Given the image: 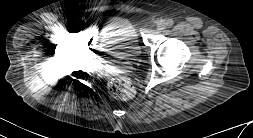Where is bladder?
<instances>
[{
    "label": "bladder",
    "mask_w": 253,
    "mask_h": 138,
    "mask_svg": "<svg viewBox=\"0 0 253 138\" xmlns=\"http://www.w3.org/2000/svg\"><path fill=\"white\" fill-rule=\"evenodd\" d=\"M101 49L123 60H133L141 55L135 25L125 19H116L105 25L100 37Z\"/></svg>",
    "instance_id": "31cf9c89"
}]
</instances>
